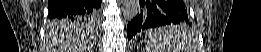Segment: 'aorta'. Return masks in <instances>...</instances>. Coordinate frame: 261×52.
Returning <instances> with one entry per match:
<instances>
[{
	"label": "aorta",
	"instance_id": "1",
	"mask_svg": "<svg viewBox=\"0 0 261 52\" xmlns=\"http://www.w3.org/2000/svg\"><path fill=\"white\" fill-rule=\"evenodd\" d=\"M140 11L139 0H124L122 15L127 20L134 19Z\"/></svg>",
	"mask_w": 261,
	"mask_h": 52
}]
</instances>
